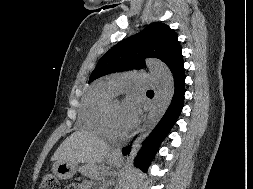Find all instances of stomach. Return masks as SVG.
<instances>
[{
    "mask_svg": "<svg viewBox=\"0 0 253 189\" xmlns=\"http://www.w3.org/2000/svg\"><path fill=\"white\" fill-rule=\"evenodd\" d=\"M107 160L110 164H113L117 161V158L112 155H108ZM77 167V163L75 162L56 161L53 164L52 171L59 179L66 180L76 173Z\"/></svg>",
    "mask_w": 253,
    "mask_h": 189,
    "instance_id": "obj_1",
    "label": "stomach"
}]
</instances>
